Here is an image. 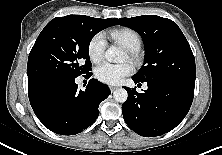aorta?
<instances>
[{"label":"aorta","mask_w":222,"mask_h":155,"mask_svg":"<svg viewBox=\"0 0 222 155\" xmlns=\"http://www.w3.org/2000/svg\"><path fill=\"white\" fill-rule=\"evenodd\" d=\"M105 57L110 62H122L124 58V54L121 50V48L116 46H111L107 51L105 52ZM113 97L115 101L119 103H124L128 98V93L124 88L116 89L113 93Z\"/></svg>","instance_id":"aorta-1"}]
</instances>
